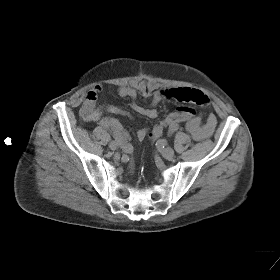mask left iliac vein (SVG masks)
Returning <instances> with one entry per match:
<instances>
[{"label":"left iliac vein","instance_id":"1","mask_svg":"<svg viewBox=\"0 0 280 280\" xmlns=\"http://www.w3.org/2000/svg\"><path fill=\"white\" fill-rule=\"evenodd\" d=\"M162 156L166 159L171 160L174 157V150L170 147L164 148L162 151Z\"/></svg>","mask_w":280,"mask_h":280}]
</instances>
